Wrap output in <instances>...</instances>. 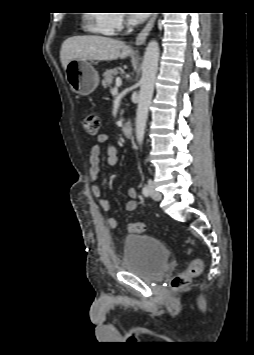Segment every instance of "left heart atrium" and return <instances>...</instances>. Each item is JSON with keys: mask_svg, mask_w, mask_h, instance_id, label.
Masks as SVG:
<instances>
[{"mask_svg": "<svg viewBox=\"0 0 254 355\" xmlns=\"http://www.w3.org/2000/svg\"><path fill=\"white\" fill-rule=\"evenodd\" d=\"M147 17L146 13H131V21L134 24L143 22Z\"/></svg>", "mask_w": 254, "mask_h": 355, "instance_id": "39dd6f15", "label": "left heart atrium"}]
</instances>
